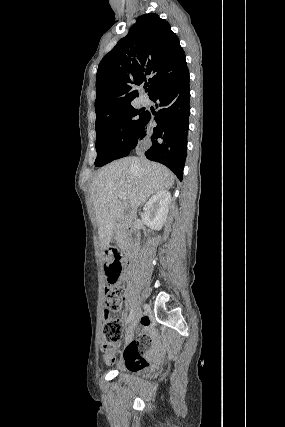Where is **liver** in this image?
Here are the masks:
<instances>
[{
  "label": "liver",
  "instance_id": "liver-1",
  "mask_svg": "<svg viewBox=\"0 0 285 427\" xmlns=\"http://www.w3.org/2000/svg\"><path fill=\"white\" fill-rule=\"evenodd\" d=\"M174 180L168 168L143 156L125 157L100 169L91 184L90 195L101 249L109 246L116 223L124 213L119 193L125 194L128 206L136 210L151 195L170 189Z\"/></svg>",
  "mask_w": 285,
  "mask_h": 427
}]
</instances>
